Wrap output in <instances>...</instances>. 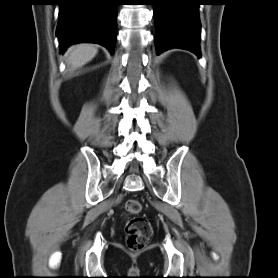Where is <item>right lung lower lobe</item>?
Instances as JSON below:
<instances>
[{
	"label": "right lung lower lobe",
	"instance_id": "right-lung-lower-lobe-1",
	"mask_svg": "<svg viewBox=\"0 0 278 278\" xmlns=\"http://www.w3.org/2000/svg\"><path fill=\"white\" fill-rule=\"evenodd\" d=\"M57 37L60 51L74 43L93 42L114 52L117 0H59Z\"/></svg>",
	"mask_w": 278,
	"mask_h": 278
}]
</instances>
